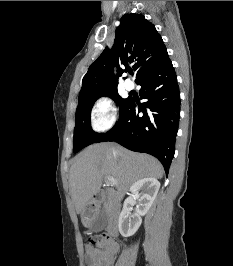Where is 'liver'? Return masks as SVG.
<instances>
[{"instance_id": "liver-1", "label": "liver", "mask_w": 233, "mask_h": 266, "mask_svg": "<svg viewBox=\"0 0 233 266\" xmlns=\"http://www.w3.org/2000/svg\"><path fill=\"white\" fill-rule=\"evenodd\" d=\"M117 181L115 189L109 188L110 198L120 201L131 185L140 179H161V163L146 154L135 153L114 143L93 144L78 154L70 169V195L82 223L89 227L95 216L85 217L86 205L100 191L103 179Z\"/></svg>"}]
</instances>
